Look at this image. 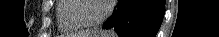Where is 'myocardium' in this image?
<instances>
[{
	"label": "myocardium",
	"mask_w": 219,
	"mask_h": 37,
	"mask_svg": "<svg viewBox=\"0 0 219 37\" xmlns=\"http://www.w3.org/2000/svg\"><path fill=\"white\" fill-rule=\"evenodd\" d=\"M83 1H86V0H73L74 6L72 8V17L74 18L75 21H77L83 27H96V26L101 25L108 19L111 13V9H112L111 1L104 2L105 4L104 12L96 20H87L81 16L80 11H81V5Z\"/></svg>",
	"instance_id": "myocardium-1"
}]
</instances>
